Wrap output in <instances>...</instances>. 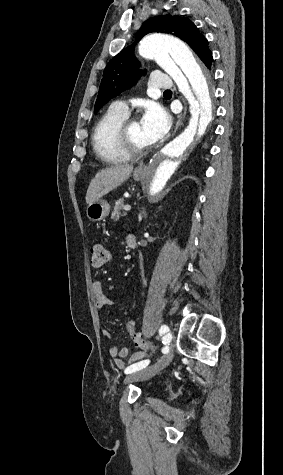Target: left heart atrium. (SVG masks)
<instances>
[{
  "label": "left heart atrium",
  "mask_w": 283,
  "mask_h": 475,
  "mask_svg": "<svg viewBox=\"0 0 283 475\" xmlns=\"http://www.w3.org/2000/svg\"><path fill=\"white\" fill-rule=\"evenodd\" d=\"M141 125L144 137L151 143L157 142L167 134L171 120L168 113L158 104H149L142 116Z\"/></svg>",
  "instance_id": "obj_1"
}]
</instances>
